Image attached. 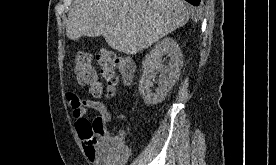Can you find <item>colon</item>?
<instances>
[{"instance_id":"obj_1","label":"colon","mask_w":276,"mask_h":165,"mask_svg":"<svg viewBox=\"0 0 276 165\" xmlns=\"http://www.w3.org/2000/svg\"><path fill=\"white\" fill-rule=\"evenodd\" d=\"M99 69L90 53L79 52L75 57V72L80 84L89 87L96 97H110L114 94L119 76L125 83H130L133 77V64L125 57L104 49L97 56ZM78 132L87 145L97 143L101 127L82 118L78 122ZM110 149L116 150L117 144L110 142Z\"/></svg>"}]
</instances>
